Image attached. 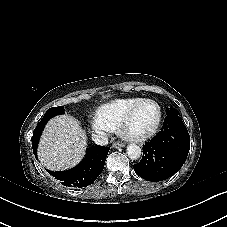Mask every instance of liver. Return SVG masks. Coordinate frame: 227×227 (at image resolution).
Returning a JSON list of instances; mask_svg holds the SVG:
<instances>
[{
  "mask_svg": "<svg viewBox=\"0 0 227 227\" xmlns=\"http://www.w3.org/2000/svg\"><path fill=\"white\" fill-rule=\"evenodd\" d=\"M87 137L72 116L60 115L47 122L38 145V158L51 171L76 166L84 157Z\"/></svg>",
  "mask_w": 227,
  "mask_h": 227,
  "instance_id": "liver-1",
  "label": "liver"
}]
</instances>
